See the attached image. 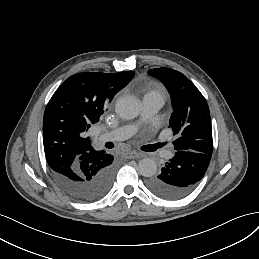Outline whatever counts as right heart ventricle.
<instances>
[{"label": "right heart ventricle", "instance_id": "1", "mask_svg": "<svg viewBox=\"0 0 259 259\" xmlns=\"http://www.w3.org/2000/svg\"><path fill=\"white\" fill-rule=\"evenodd\" d=\"M139 92L142 93L143 99L152 96H164L165 90L159 84H149L148 86H141Z\"/></svg>", "mask_w": 259, "mask_h": 259}]
</instances>
